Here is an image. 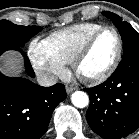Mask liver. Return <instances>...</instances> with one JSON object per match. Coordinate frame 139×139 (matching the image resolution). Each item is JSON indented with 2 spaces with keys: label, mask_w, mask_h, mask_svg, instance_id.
<instances>
[{
  "label": "liver",
  "mask_w": 139,
  "mask_h": 139,
  "mask_svg": "<svg viewBox=\"0 0 139 139\" xmlns=\"http://www.w3.org/2000/svg\"><path fill=\"white\" fill-rule=\"evenodd\" d=\"M2 70L9 75H17L21 72V58L15 52H9L2 59Z\"/></svg>",
  "instance_id": "6515ba94"
}]
</instances>
